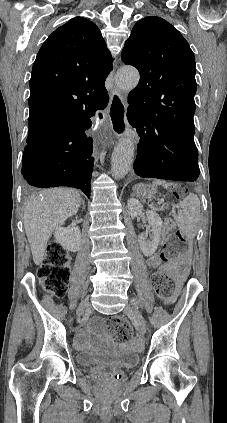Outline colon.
I'll use <instances>...</instances> for the list:
<instances>
[{
	"label": "colon",
	"instance_id": "obj_1",
	"mask_svg": "<svg viewBox=\"0 0 227 423\" xmlns=\"http://www.w3.org/2000/svg\"><path fill=\"white\" fill-rule=\"evenodd\" d=\"M177 196V193H172ZM167 227L171 228L173 223L167 221ZM185 240L181 234L172 232L169 234L168 240L160 254L163 262H169L178 258L185 250ZM70 256L68 252L60 245L53 244L46 252L45 259L38 270V275L43 288L55 297H62L67 289L70 281ZM152 284L156 294L160 298H168L173 292V281L165 273L156 271L152 275ZM109 325L114 336L120 339H127L132 334L130 325L122 318L116 317L110 320ZM98 378L105 380L106 374L98 375Z\"/></svg>",
	"mask_w": 227,
	"mask_h": 423
}]
</instances>
